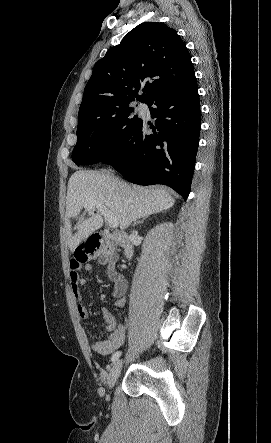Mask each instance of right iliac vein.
Listing matches in <instances>:
<instances>
[{
	"mask_svg": "<svg viewBox=\"0 0 271 443\" xmlns=\"http://www.w3.org/2000/svg\"><path fill=\"white\" fill-rule=\"evenodd\" d=\"M123 367V361L118 360L114 363L111 372L109 374L108 386L110 388L114 387Z\"/></svg>",
	"mask_w": 271,
	"mask_h": 443,
	"instance_id": "obj_1",
	"label": "right iliac vein"
}]
</instances>
